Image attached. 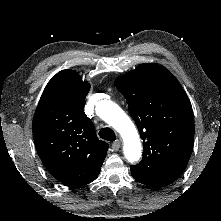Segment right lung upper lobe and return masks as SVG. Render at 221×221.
<instances>
[{"mask_svg":"<svg viewBox=\"0 0 221 221\" xmlns=\"http://www.w3.org/2000/svg\"><path fill=\"white\" fill-rule=\"evenodd\" d=\"M90 84L74 70H62L46 85L33 119L38 154L51 174L73 187L94 181L108 143L97 138L83 111Z\"/></svg>","mask_w":221,"mask_h":221,"instance_id":"1","label":"right lung upper lobe"}]
</instances>
